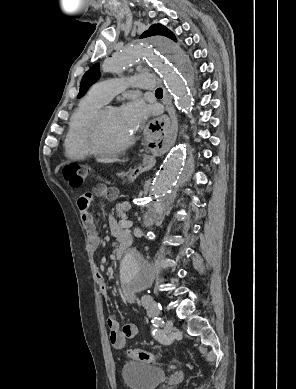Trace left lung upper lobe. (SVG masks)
I'll list each match as a JSON object with an SVG mask.
<instances>
[{
	"label": "left lung upper lobe",
	"instance_id": "5c2ea615",
	"mask_svg": "<svg viewBox=\"0 0 296 389\" xmlns=\"http://www.w3.org/2000/svg\"><path fill=\"white\" fill-rule=\"evenodd\" d=\"M154 35L166 36V37L176 41L174 34L161 24L152 25L147 31H145L141 35L140 38H145V37L154 36ZM99 78H100L99 65L95 64L84 74V76L81 80L80 92H79L77 98L82 97L87 92L89 87L92 84H94Z\"/></svg>",
	"mask_w": 296,
	"mask_h": 389
}]
</instances>
